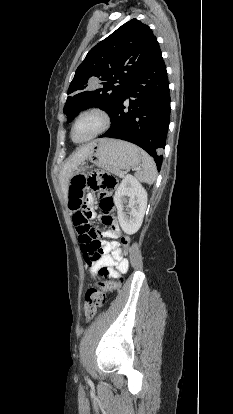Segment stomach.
I'll return each instance as SVG.
<instances>
[{
    "instance_id": "1",
    "label": "stomach",
    "mask_w": 233,
    "mask_h": 414,
    "mask_svg": "<svg viewBox=\"0 0 233 414\" xmlns=\"http://www.w3.org/2000/svg\"><path fill=\"white\" fill-rule=\"evenodd\" d=\"M89 157L71 176L68 184L67 206L76 209L81 204V197L85 193V176L88 162L100 166L108 171L116 172L129 170L140 166L142 161L141 150L130 143L100 139L91 143Z\"/></svg>"
}]
</instances>
